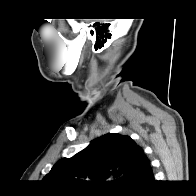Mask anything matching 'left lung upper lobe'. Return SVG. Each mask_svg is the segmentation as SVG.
Wrapping results in <instances>:
<instances>
[{"instance_id":"5c2ea615","label":"left lung upper lobe","mask_w":196,"mask_h":196,"mask_svg":"<svg viewBox=\"0 0 196 196\" xmlns=\"http://www.w3.org/2000/svg\"><path fill=\"white\" fill-rule=\"evenodd\" d=\"M149 165L143 149L131 137L108 133L73 157L59 160L44 179L57 187L134 189Z\"/></svg>"}]
</instances>
